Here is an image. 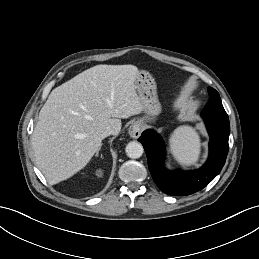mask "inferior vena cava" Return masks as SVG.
Wrapping results in <instances>:
<instances>
[{
	"instance_id": "obj_1",
	"label": "inferior vena cava",
	"mask_w": 259,
	"mask_h": 259,
	"mask_svg": "<svg viewBox=\"0 0 259 259\" xmlns=\"http://www.w3.org/2000/svg\"><path fill=\"white\" fill-rule=\"evenodd\" d=\"M114 133H115V131H114L113 128H107V129H105V130L103 131V133H102V138L104 139L105 137H107V136H109V135H111V134H114Z\"/></svg>"
}]
</instances>
